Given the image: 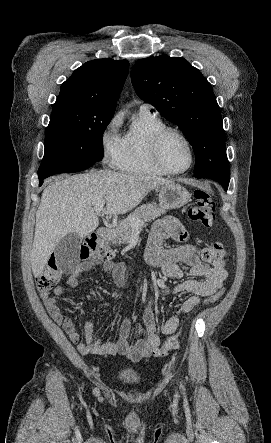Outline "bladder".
Here are the masks:
<instances>
[{
	"label": "bladder",
	"instance_id": "1",
	"mask_svg": "<svg viewBox=\"0 0 271 443\" xmlns=\"http://www.w3.org/2000/svg\"><path fill=\"white\" fill-rule=\"evenodd\" d=\"M117 378L126 384H138L142 376L138 370L132 367H123L118 370Z\"/></svg>",
	"mask_w": 271,
	"mask_h": 443
}]
</instances>
